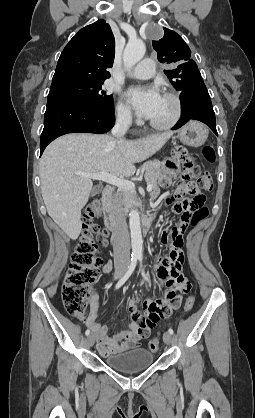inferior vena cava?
<instances>
[{
    "mask_svg": "<svg viewBox=\"0 0 255 418\" xmlns=\"http://www.w3.org/2000/svg\"><path fill=\"white\" fill-rule=\"evenodd\" d=\"M131 123L132 119L128 113L119 114L116 120V124L112 129V135L116 138L122 139L129 129ZM115 221L116 224L113 241L114 258L116 261L128 262L130 260V238L125 217L122 214L119 206Z\"/></svg>",
    "mask_w": 255,
    "mask_h": 418,
    "instance_id": "inferior-vena-cava-1",
    "label": "inferior vena cava"
}]
</instances>
